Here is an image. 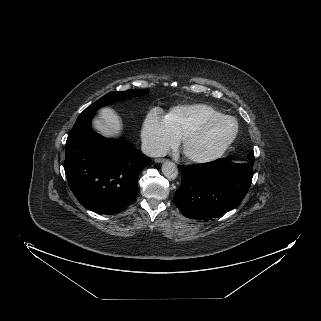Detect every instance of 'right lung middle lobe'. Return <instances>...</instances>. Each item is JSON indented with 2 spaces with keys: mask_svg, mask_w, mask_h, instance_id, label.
Instances as JSON below:
<instances>
[{
  "mask_svg": "<svg viewBox=\"0 0 321 321\" xmlns=\"http://www.w3.org/2000/svg\"><path fill=\"white\" fill-rule=\"evenodd\" d=\"M147 93V90H127L123 92H110L97 100L92 105L88 106L81 114L83 113H92L95 114V112L106 105H109L111 103L122 101L125 99L133 98L136 96H141Z\"/></svg>",
  "mask_w": 321,
  "mask_h": 321,
  "instance_id": "right-lung-middle-lobe-1",
  "label": "right lung middle lobe"
}]
</instances>
